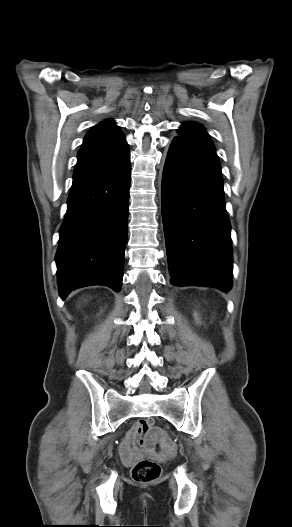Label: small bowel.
Masks as SVG:
<instances>
[{
    "mask_svg": "<svg viewBox=\"0 0 292 527\" xmlns=\"http://www.w3.org/2000/svg\"><path fill=\"white\" fill-rule=\"evenodd\" d=\"M146 431L143 430L141 424L134 426L126 435L125 439L119 447V453L124 461L125 469L130 470L134 466V461L143 458L145 455L151 456V462L158 464L160 459L164 463L169 461V458L174 453V447L168 437L164 434L163 427H156L152 437L159 440L160 450L154 449V442L152 437L147 436Z\"/></svg>",
    "mask_w": 292,
    "mask_h": 527,
    "instance_id": "small-bowel-1",
    "label": "small bowel"
}]
</instances>
